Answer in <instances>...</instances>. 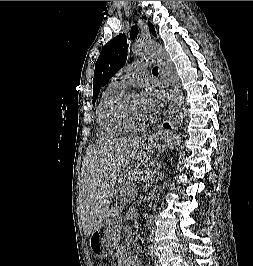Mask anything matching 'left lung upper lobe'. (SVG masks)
Instances as JSON below:
<instances>
[{"label":"left lung upper lobe","mask_w":253,"mask_h":266,"mask_svg":"<svg viewBox=\"0 0 253 266\" xmlns=\"http://www.w3.org/2000/svg\"><path fill=\"white\" fill-rule=\"evenodd\" d=\"M150 30L155 36L153 25L148 23ZM138 29L133 26L130 32V38L134 40ZM128 57V39L125 34H119L109 41L102 49L96 64L93 79V101L97 99L100 89L117 73L126 63Z\"/></svg>","instance_id":"1"}]
</instances>
